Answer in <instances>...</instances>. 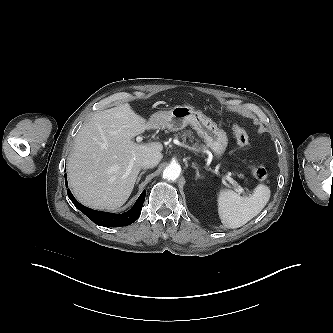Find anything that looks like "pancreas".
Masks as SVG:
<instances>
[{
    "instance_id": "obj_1",
    "label": "pancreas",
    "mask_w": 333,
    "mask_h": 333,
    "mask_svg": "<svg viewBox=\"0 0 333 333\" xmlns=\"http://www.w3.org/2000/svg\"><path fill=\"white\" fill-rule=\"evenodd\" d=\"M177 136H179L180 138H182L185 142L186 139L189 138V142L192 143L193 147L195 148H199V149H206V147L202 144L199 143V141L197 139H195V137L193 136V132L191 130H186L183 133H178ZM195 140V142H194Z\"/></svg>"
}]
</instances>
